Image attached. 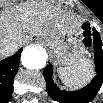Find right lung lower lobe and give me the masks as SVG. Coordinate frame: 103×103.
Masks as SVG:
<instances>
[{"instance_id":"1","label":"right lung lower lobe","mask_w":103,"mask_h":103,"mask_svg":"<svg viewBox=\"0 0 103 103\" xmlns=\"http://www.w3.org/2000/svg\"><path fill=\"white\" fill-rule=\"evenodd\" d=\"M22 49L13 56L0 61V92L8 98L13 90V80L17 73Z\"/></svg>"}]
</instances>
